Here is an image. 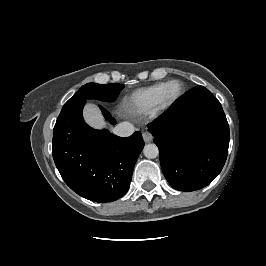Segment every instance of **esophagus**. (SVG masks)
<instances>
[{"mask_svg": "<svg viewBox=\"0 0 266 266\" xmlns=\"http://www.w3.org/2000/svg\"><path fill=\"white\" fill-rule=\"evenodd\" d=\"M142 136H143V139L146 143H149L153 140L152 134L147 132V131L143 132Z\"/></svg>", "mask_w": 266, "mask_h": 266, "instance_id": "obj_1", "label": "esophagus"}]
</instances>
